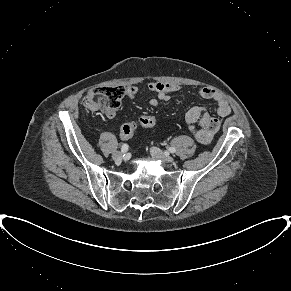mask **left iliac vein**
Segmentation results:
<instances>
[{
	"mask_svg": "<svg viewBox=\"0 0 291 291\" xmlns=\"http://www.w3.org/2000/svg\"><path fill=\"white\" fill-rule=\"evenodd\" d=\"M150 153H151V156L155 159L162 160L166 163L174 162V158L172 156L164 153L162 150H160L157 147H151Z\"/></svg>",
	"mask_w": 291,
	"mask_h": 291,
	"instance_id": "left-iliac-vein-1",
	"label": "left iliac vein"
}]
</instances>
